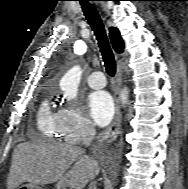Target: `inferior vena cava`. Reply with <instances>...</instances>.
<instances>
[{"instance_id": "obj_1", "label": "inferior vena cava", "mask_w": 188, "mask_h": 189, "mask_svg": "<svg viewBox=\"0 0 188 189\" xmlns=\"http://www.w3.org/2000/svg\"><path fill=\"white\" fill-rule=\"evenodd\" d=\"M96 134L95 128L93 125H88L86 126L82 131H81V136H82V142L85 146H89L94 139V136ZM96 182L92 181L89 185L88 189H97L96 187Z\"/></svg>"}]
</instances>
